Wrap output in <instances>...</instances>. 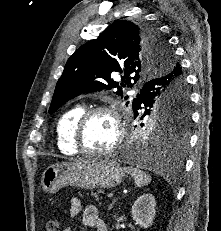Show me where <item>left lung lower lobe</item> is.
Listing matches in <instances>:
<instances>
[{
    "instance_id": "0a47b994",
    "label": "left lung lower lobe",
    "mask_w": 221,
    "mask_h": 231,
    "mask_svg": "<svg viewBox=\"0 0 221 231\" xmlns=\"http://www.w3.org/2000/svg\"><path fill=\"white\" fill-rule=\"evenodd\" d=\"M177 87L187 91L186 80L181 67H176L166 74L151 78L143 86L141 95L134 99V101L136 100L137 105H139L145 100H150L155 96L167 93L171 94ZM172 104L175 106H184L185 101L182 98H175ZM186 142L187 136L184 138L178 137L176 139H171L168 137L158 138L154 135L149 138V140H145L143 147H139L138 150H135L134 158L137 161H161L164 160L166 149H169L177 157V155H180L183 152Z\"/></svg>"
}]
</instances>
